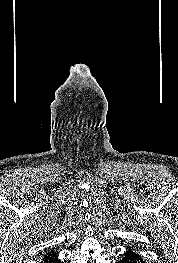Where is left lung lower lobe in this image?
Returning a JSON list of instances; mask_svg holds the SVG:
<instances>
[{
  "instance_id": "obj_1",
  "label": "left lung lower lobe",
  "mask_w": 178,
  "mask_h": 263,
  "mask_svg": "<svg viewBox=\"0 0 178 263\" xmlns=\"http://www.w3.org/2000/svg\"><path fill=\"white\" fill-rule=\"evenodd\" d=\"M118 263H144L139 254L132 252L130 249L124 253L122 259Z\"/></svg>"
}]
</instances>
